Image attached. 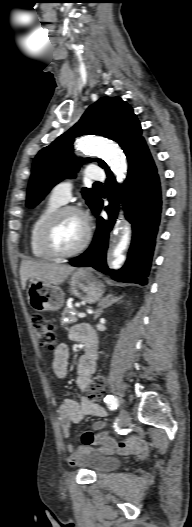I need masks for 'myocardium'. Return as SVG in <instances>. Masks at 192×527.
<instances>
[{"instance_id":"f54148a6","label":"myocardium","mask_w":192,"mask_h":527,"mask_svg":"<svg viewBox=\"0 0 192 527\" xmlns=\"http://www.w3.org/2000/svg\"><path fill=\"white\" fill-rule=\"evenodd\" d=\"M69 213L77 214L78 216L82 218L85 224V235L82 241L80 242V244L74 249L69 250V251H60L53 244V239H52L53 231H54V228L57 222L64 215L69 214ZM92 235H93L92 226H91V223L87 215L84 213V211L76 206L66 205V206H60L59 208H57L46 219V221L44 222L41 228L40 243H41L43 250L51 258H55V259L70 258V257H74L80 254L82 251H84L87 248V246L91 242Z\"/></svg>"}]
</instances>
